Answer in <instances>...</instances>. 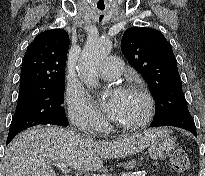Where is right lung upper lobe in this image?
<instances>
[{
	"instance_id": "1",
	"label": "right lung upper lobe",
	"mask_w": 205,
	"mask_h": 176,
	"mask_svg": "<svg viewBox=\"0 0 205 176\" xmlns=\"http://www.w3.org/2000/svg\"><path fill=\"white\" fill-rule=\"evenodd\" d=\"M68 48L69 35L62 29L38 34L24 55L19 95L65 83Z\"/></svg>"
}]
</instances>
